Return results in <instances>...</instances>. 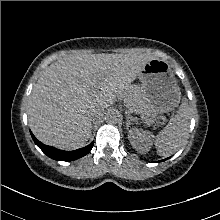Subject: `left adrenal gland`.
I'll return each mask as SVG.
<instances>
[{
    "mask_svg": "<svg viewBox=\"0 0 220 220\" xmlns=\"http://www.w3.org/2000/svg\"><path fill=\"white\" fill-rule=\"evenodd\" d=\"M132 121V117L129 114H126V129H129L130 123Z\"/></svg>",
    "mask_w": 220,
    "mask_h": 220,
    "instance_id": "a2214340",
    "label": "left adrenal gland"
}]
</instances>
